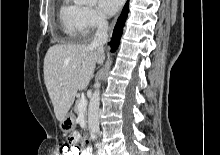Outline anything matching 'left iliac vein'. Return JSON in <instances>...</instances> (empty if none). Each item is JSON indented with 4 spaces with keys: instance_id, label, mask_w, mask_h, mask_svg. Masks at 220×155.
<instances>
[{
    "instance_id": "4c4485c4",
    "label": "left iliac vein",
    "mask_w": 220,
    "mask_h": 155,
    "mask_svg": "<svg viewBox=\"0 0 220 155\" xmlns=\"http://www.w3.org/2000/svg\"><path fill=\"white\" fill-rule=\"evenodd\" d=\"M101 155H107L106 153H102Z\"/></svg>"
}]
</instances>
